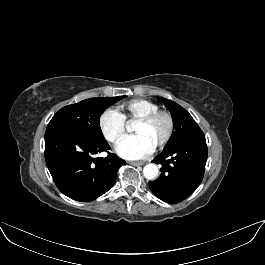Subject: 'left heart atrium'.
I'll list each match as a JSON object with an SVG mask.
<instances>
[{"instance_id": "39dd6f15", "label": "left heart atrium", "mask_w": 265, "mask_h": 265, "mask_svg": "<svg viewBox=\"0 0 265 265\" xmlns=\"http://www.w3.org/2000/svg\"><path fill=\"white\" fill-rule=\"evenodd\" d=\"M154 147L141 134L128 135L122 138L116 147L119 156L125 159H141L149 155Z\"/></svg>"}]
</instances>
